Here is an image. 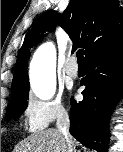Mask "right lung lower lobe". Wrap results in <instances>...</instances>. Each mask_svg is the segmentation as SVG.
Segmentation results:
<instances>
[{
	"label": "right lung lower lobe",
	"instance_id": "obj_1",
	"mask_svg": "<svg viewBox=\"0 0 123 152\" xmlns=\"http://www.w3.org/2000/svg\"><path fill=\"white\" fill-rule=\"evenodd\" d=\"M83 101L71 98L70 133L79 142L106 152L108 122L123 94V33L86 58Z\"/></svg>",
	"mask_w": 123,
	"mask_h": 152
}]
</instances>
